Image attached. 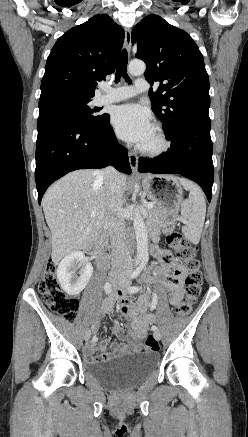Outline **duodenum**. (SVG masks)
I'll return each mask as SVG.
<instances>
[{
    "mask_svg": "<svg viewBox=\"0 0 248 437\" xmlns=\"http://www.w3.org/2000/svg\"><path fill=\"white\" fill-rule=\"evenodd\" d=\"M105 239V233H101L96 240V244L93 248V252L94 254L97 256L99 262L101 264H106L107 262V258L102 254V247H103V241ZM154 255H156L158 253V250L155 248L153 250Z\"/></svg>",
    "mask_w": 248,
    "mask_h": 437,
    "instance_id": "obj_1",
    "label": "duodenum"
}]
</instances>
